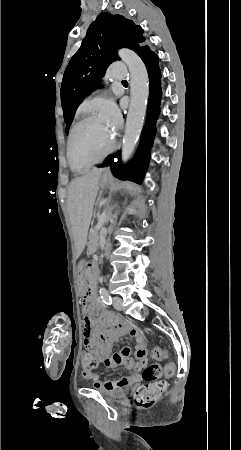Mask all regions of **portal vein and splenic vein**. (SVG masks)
Wrapping results in <instances>:
<instances>
[{"mask_svg": "<svg viewBox=\"0 0 241 450\" xmlns=\"http://www.w3.org/2000/svg\"><path fill=\"white\" fill-rule=\"evenodd\" d=\"M109 207V206H108ZM111 207V206H110ZM102 215L103 216H108L109 215V212L107 211V210H105V211H103L102 212ZM105 221V218L104 217H101L100 218V221H97V226H96V231H101V226H103V222Z\"/></svg>", "mask_w": 241, "mask_h": 450, "instance_id": "portal-vein-and-splenic-vein-1", "label": "portal vein and splenic vein"}]
</instances>
